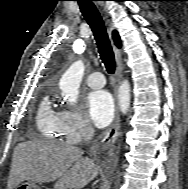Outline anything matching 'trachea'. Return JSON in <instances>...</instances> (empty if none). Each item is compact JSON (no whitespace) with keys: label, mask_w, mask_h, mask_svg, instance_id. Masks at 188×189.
Wrapping results in <instances>:
<instances>
[{"label":"trachea","mask_w":188,"mask_h":189,"mask_svg":"<svg viewBox=\"0 0 188 189\" xmlns=\"http://www.w3.org/2000/svg\"><path fill=\"white\" fill-rule=\"evenodd\" d=\"M80 10L94 34L100 58L110 74L115 72V57L100 13L91 0H77Z\"/></svg>","instance_id":"3493384b"}]
</instances>
